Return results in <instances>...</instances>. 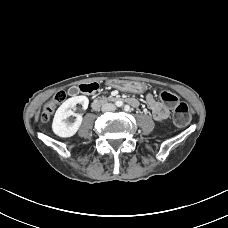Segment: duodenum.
<instances>
[{"label": "duodenum", "mask_w": 228, "mask_h": 228, "mask_svg": "<svg viewBox=\"0 0 228 228\" xmlns=\"http://www.w3.org/2000/svg\"><path fill=\"white\" fill-rule=\"evenodd\" d=\"M95 89H92V88H87L84 92H87V93H92ZM109 100H117L119 101L117 98H111ZM107 99H96L94 100L93 102V107L96 109V108H99L104 102H106ZM116 101V102H117Z\"/></svg>", "instance_id": "410a0bca"}]
</instances>
